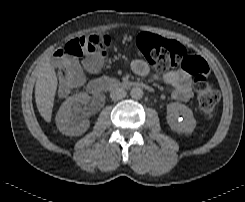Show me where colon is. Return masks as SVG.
<instances>
[{
	"instance_id": "1",
	"label": "colon",
	"mask_w": 245,
	"mask_h": 202,
	"mask_svg": "<svg viewBox=\"0 0 245 202\" xmlns=\"http://www.w3.org/2000/svg\"><path fill=\"white\" fill-rule=\"evenodd\" d=\"M112 39L106 34H96L87 39H73L59 46L54 57L60 62L59 81L62 84H75L78 80L76 57L98 52L100 60L107 58ZM134 45L138 53L156 71L165 72L180 66L195 77L198 106L207 118L212 117L219 93L210 78L207 62L198 56H192L187 47L174 40H166L146 32L137 34Z\"/></svg>"
}]
</instances>
